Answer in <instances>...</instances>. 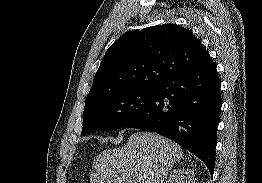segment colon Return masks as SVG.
<instances>
[{
	"label": "colon",
	"instance_id": "colon-1",
	"mask_svg": "<svg viewBox=\"0 0 262 183\" xmlns=\"http://www.w3.org/2000/svg\"><path fill=\"white\" fill-rule=\"evenodd\" d=\"M73 183H82V182H80L79 180H74Z\"/></svg>",
	"mask_w": 262,
	"mask_h": 183
}]
</instances>
